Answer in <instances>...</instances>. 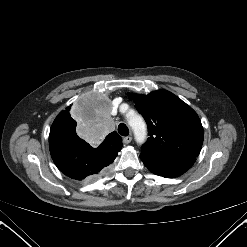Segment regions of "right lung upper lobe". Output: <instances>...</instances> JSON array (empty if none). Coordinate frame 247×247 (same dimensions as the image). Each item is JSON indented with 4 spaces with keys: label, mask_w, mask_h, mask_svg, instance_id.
Returning a JSON list of instances; mask_svg holds the SVG:
<instances>
[{
    "label": "right lung upper lobe",
    "mask_w": 247,
    "mask_h": 247,
    "mask_svg": "<svg viewBox=\"0 0 247 247\" xmlns=\"http://www.w3.org/2000/svg\"><path fill=\"white\" fill-rule=\"evenodd\" d=\"M68 109H70V107H67L66 110H63L60 112V114L56 117V119L52 125V128H59L60 121L66 120L68 118V113H69ZM101 145L102 146H109L111 149L117 150L119 152L122 148V139L114 131V132H112L106 136L105 140L101 143Z\"/></svg>",
    "instance_id": "obj_1"
}]
</instances>
